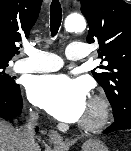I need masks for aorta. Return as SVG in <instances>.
<instances>
[{"instance_id":"aorta-1","label":"aorta","mask_w":131,"mask_h":151,"mask_svg":"<svg viewBox=\"0 0 131 151\" xmlns=\"http://www.w3.org/2000/svg\"><path fill=\"white\" fill-rule=\"evenodd\" d=\"M86 28V22L82 15L71 14L65 20V29L68 32H81Z\"/></svg>"}]
</instances>
